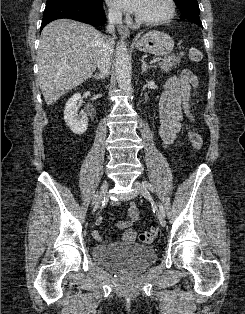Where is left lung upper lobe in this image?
I'll list each match as a JSON object with an SVG mask.
<instances>
[{
  "label": "left lung upper lobe",
  "instance_id": "obj_1",
  "mask_svg": "<svg viewBox=\"0 0 245 314\" xmlns=\"http://www.w3.org/2000/svg\"><path fill=\"white\" fill-rule=\"evenodd\" d=\"M174 2L181 11V19H186L202 26L199 18L200 9L197 0H174Z\"/></svg>",
  "mask_w": 245,
  "mask_h": 314
}]
</instances>
